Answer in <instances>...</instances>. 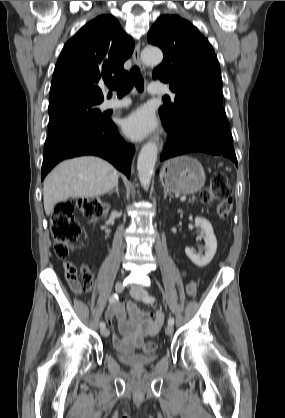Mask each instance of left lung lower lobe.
Wrapping results in <instances>:
<instances>
[{
    "label": "left lung lower lobe",
    "mask_w": 285,
    "mask_h": 418,
    "mask_svg": "<svg viewBox=\"0 0 285 418\" xmlns=\"http://www.w3.org/2000/svg\"><path fill=\"white\" fill-rule=\"evenodd\" d=\"M163 125L168 137L160 161L190 152H205L225 156L237 165L233 138L227 120L210 115H198L174 130Z\"/></svg>",
    "instance_id": "0a47b994"
}]
</instances>
